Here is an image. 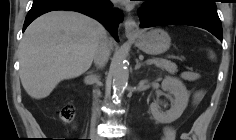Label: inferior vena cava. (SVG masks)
Segmentation results:
<instances>
[{
  "label": "inferior vena cava",
  "instance_id": "602c4592",
  "mask_svg": "<svg viewBox=\"0 0 236 140\" xmlns=\"http://www.w3.org/2000/svg\"><path fill=\"white\" fill-rule=\"evenodd\" d=\"M110 47L111 45L108 39H104L99 43L94 54V63L97 66L103 67L107 63L110 55Z\"/></svg>",
  "mask_w": 236,
  "mask_h": 140
}]
</instances>
